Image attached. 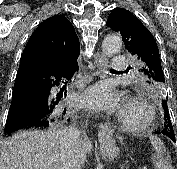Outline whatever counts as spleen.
Here are the masks:
<instances>
[{
    "mask_svg": "<svg viewBox=\"0 0 177 169\" xmlns=\"http://www.w3.org/2000/svg\"><path fill=\"white\" fill-rule=\"evenodd\" d=\"M150 142L152 144L154 154L152 162L155 169H173L170 164V157L166 152L163 141L157 136H150Z\"/></svg>",
    "mask_w": 177,
    "mask_h": 169,
    "instance_id": "spleen-1",
    "label": "spleen"
}]
</instances>
